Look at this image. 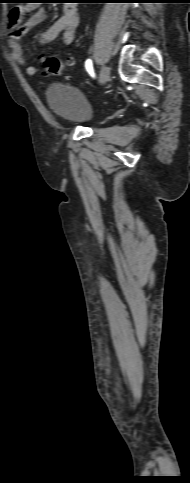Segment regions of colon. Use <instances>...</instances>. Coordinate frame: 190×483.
Returning a JSON list of instances; mask_svg holds the SVG:
<instances>
[{"mask_svg":"<svg viewBox=\"0 0 190 483\" xmlns=\"http://www.w3.org/2000/svg\"><path fill=\"white\" fill-rule=\"evenodd\" d=\"M70 61H63L54 55H46L43 58V71L49 76H61L63 75L67 65H70Z\"/></svg>","mask_w":190,"mask_h":483,"instance_id":"obj_1","label":"colon"}]
</instances>
